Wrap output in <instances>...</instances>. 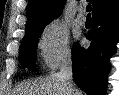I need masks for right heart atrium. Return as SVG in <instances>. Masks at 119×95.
I'll use <instances>...</instances> for the list:
<instances>
[{
    "label": "right heart atrium",
    "mask_w": 119,
    "mask_h": 95,
    "mask_svg": "<svg viewBox=\"0 0 119 95\" xmlns=\"http://www.w3.org/2000/svg\"><path fill=\"white\" fill-rule=\"evenodd\" d=\"M38 48L45 65L56 68L71 55L68 27L60 20L49 22L39 36Z\"/></svg>",
    "instance_id": "obj_1"
}]
</instances>
